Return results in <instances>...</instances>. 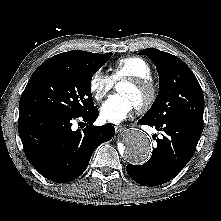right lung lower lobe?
<instances>
[{"mask_svg":"<svg viewBox=\"0 0 221 221\" xmlns=\"http://www.w3.org/2000/svg\"><path fill=\"white\" fill-rule=\"evenodd\" d=\"M98 115L97 108L79 117L48 109H20L18 131L30 164L57 183L79 177L94 150L115 133L109 124L93 125ZM75 118L83 119L86 128L73 131L71 122Z\"/></svg>","mask_w":221,"mask_h":221,"instance_id":"1","label":"right lung lower lobe"}]
</instances>
